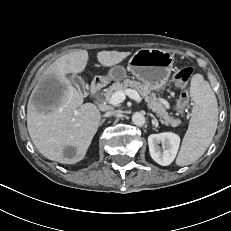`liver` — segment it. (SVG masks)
Segmentation results:
<instances>
[{
	"mask_svg": "<svg viewBox=\"0 0 231 231\" xmlns=\"http://www.w3.org/2000/svg\"><path fill=\"white\" fill-rule=\"evenodd\" d=\"M131 52L100 51L99 63L111 67L122 62ZM87 50H75L55 60L42 74L27 106V128L32 142L47 159L73 164L84 158L101 114L96 105L83 104V96L74 88L67 74L85 70ZM37 95V100L34 97ZM73 147L71 158L64 149Z\"/></svg>",
	"mask_w": 231,
	"mask_h": 231,
	"instance_id": "1",
	"label": "liver"
}]
</instances>
